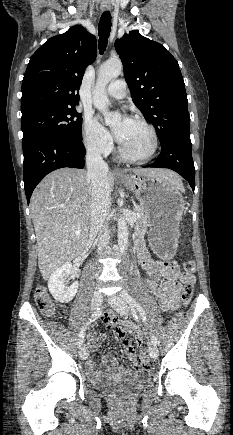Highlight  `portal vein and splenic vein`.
I'll list each match as a JSON object with an SVG mask.
<instances>
[{
	"label": "portal vein and splenic vein",
	"mask_w": 233,
	"mask_h": 435,
	"mask_svg": "<svg viewBox=\"0 0 233 435\" xmlns=\"http://www.w3.org/2000/svg\"><path fill=\"white\" fill-rule=\"evenodd\" d=\"M136 218H137V219L139 218V214H136ZM75 235H77V236L80 235V231H76V232H75Z\"/></svg>",
	"instance_id": "obj_1"
}]
</instances>
